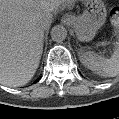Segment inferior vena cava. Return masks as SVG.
<instances>
[{
  "mask_svg": "<svg viewBox=\"0 0 119 119\" xmlns=\"http://www.w3.org/2000/svg\"><path fill=\"white\" fill-rule=\"evenodd\" d=\"M39 29H40L41 31H44V29H46V25L41 24L40 27H39Z\"/></svg>",
  "mask_w": 119,
  "mask_h": 119,
  "instance_id": "obj_1",
  "label": "inferior vena cava"
}]
</instances>
